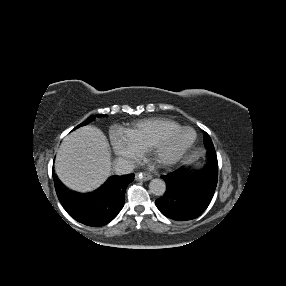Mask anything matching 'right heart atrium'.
Masks as SVG:
<instances>
[{
  "label": "right heart atrium",
  "instance_id": "obj_1",
  "mask_svg": "<svg viewBox=\"0 0 286 286\" xmlns=\"http://www.w3.org/2000/svg\"><path fill=\"white\" fill-rule=\"evenodd\" d=\"M114 153L122 159L136 161L142 154L138 143L127 132L113 133L110 138Z\"/></svg>",
  "mask_w": 286,
  "mask_h": 286
}]
</instances>
